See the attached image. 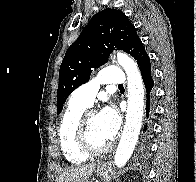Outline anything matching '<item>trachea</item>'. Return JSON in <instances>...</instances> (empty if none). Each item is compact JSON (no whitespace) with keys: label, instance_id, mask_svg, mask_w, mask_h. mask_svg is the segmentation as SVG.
<instances>
[{"label":"trachea","instance_id":"obj_1","mask_svg":"<svg viewBox=\"0 0 196 182\" xmlns=\"http://www.w3.org/2000/svg\"><path fill=\"white\" fill-rule=\"evenodd\" d=\"M118 87H123V85H119Z\"/></svg>","mask_w":196,"mask_h":182}]
</instances>
